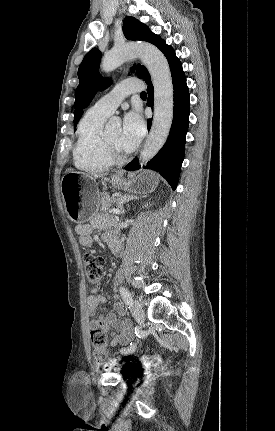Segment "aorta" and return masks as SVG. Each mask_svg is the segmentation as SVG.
I'll return each instance as SVG.
<instances>
[{"instance_id": "obj_1", "label": "aorta", "mask_w": 275, "mask_h": 431, "mask_svg": "<svg viewBox=\"0 0 275 431\" xmlns=\"http://www.w3.org/2000/svg\"><path fill=\"white\" fill-rule=\"evenodd\" d=\"M139 57L147 67L154 87V117L150 133L140 153L141 165L150 161L165 144L173 121L174 90L169 64L163 53L153 45L128 44L115 47L102 59L104 72L115 70L125 61ZM111 125L118 123L112 118Z\"/></svg>"}]
</instances>
